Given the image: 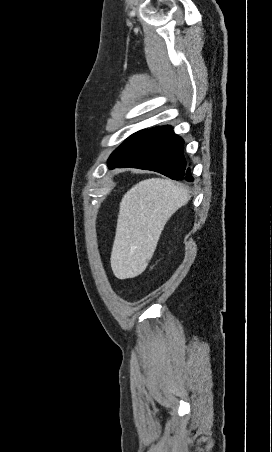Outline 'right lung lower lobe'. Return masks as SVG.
<instances>
[{"label": "right lung lower lobe", "instance_id": "right-lung-lower-lobe-1", "mask_svg": "<svg viewBox=\"0 0 272 452\" xmlns=\"http://www.w3.org/2000/svg\"><path fill=\"white\" fill-rule=\"evenodd\" d=\"M184 141L170 126L148 130L110 169L132 167L159 172L173 180L193 181L183 154Z\"/></svg>", "mask_w": 272, "mask_h": 452}]
</instances>
